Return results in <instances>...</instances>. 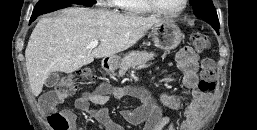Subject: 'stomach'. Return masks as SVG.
<instances>
[{
	"mask_svg": "<svg viewBox=\"0 0 257 130\" xmlns=\"http://www.w3.org/2000/svg\"><path fill=\"white\" fill-rule=\"evenodd\" d=\"M151 36L156 47L170 51L180 44L183 34L174 21L162 20L152 27ZM121 61L118 55L107 56L103 59L102 66L105 70L112 72L120 67Z\"/></svg>",
	"mask_w": 257,
	"mask_h": 130,
	"instance_id": "stomach-1",
	"label": "stomach"
}]
</instances>
